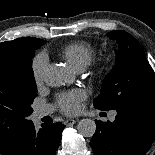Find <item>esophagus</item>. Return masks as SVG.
Segmentation results:
<instances>
[{
	"label": "esophagus",
	"instance_id": "1",
	"mask_svg": "<svg viewBox=\"0 0 155 155\" xmlns=\"http://www.w3.org/2000/svg\"><path fill=\"white\" fill-rule=\"evenodd\" d=\"M76 122H77V121H76L75 119H67V120L64 122V124H65L66 126H72V125H74Z\"/></svg>",
	"mask_w": 155,
	"mask_h": 155
}]
</instances>
